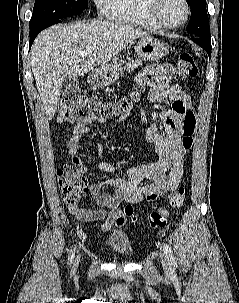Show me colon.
Instances as JSON below:
<instances>
[{
	"label": "colon",
	"instance_id": "1",
	"mask_svg": "<svg viewBox=\"0 0 239 303\" xmlns=\"http://www.w3.org/2000/svg\"><path fill=\"white\" fill-rule=\"evenodd\" d=\"M176 75L180 79L196 77L198 67L192 55L183 53L179 56L176 64ZM138 97L133 93L117 102H109L100 97L90 96L85 93H78L67 96L61 100L58 110V120L63 123H72L79 120L84 109L105 118L115 117L128 112ZM196 131V116L193 111L184 112L182 123V145L185 150H190L194 143ZM58 184L62 200L65 204L73 206L78 204L80 195L85 191L87 182L79 170L67 164L58 170ZM186 190L178 188L169 196L170 206L179 208L183 205ZM124 216L132 222H138L131 205L124 208ZM169 213L165 208H158L148 215L146 224L152 228L164 227L168 221Z\"/></svg>",
	"mask_w": 239,
	"mask_h": 303
}]
</instances>
